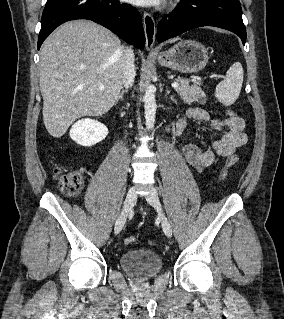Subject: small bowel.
I'll list each match as a JSON object with an SVG mask.
<instances>
[{
	"mask_svg": "<svg viewBox=\"0 0 284 319\" xmlns=\"http://www.w3.org/2000/svg\"><path fill=\"white\" fill-rule=\"evenodd\" d=\"M187 119L207 123L216 131L221 132V137L214 141L212 148L205 149L193 142H187L182 147L181 151L185 162L199 173L212 166L217 156L229 157L235 153L237 148L245 145L248 141L244 131L245 121L241 117L214 118L202 108H189L184 116L176 122V134L179 135L185 130Z\"/></svg>",
	"mask_w": 284,
	"mask_h": 319,
	"instance_id": "obj_1",
	"label": "small bowel"
}]
</instances>
